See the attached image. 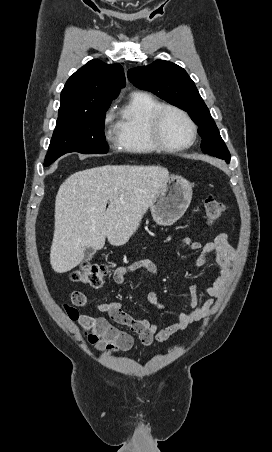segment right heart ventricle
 Masks as SVG:
<instances>
[{
    "label": "right heart ventricle",
    "mask_w": 272,
    "mask_h": 452,
    "mask_svg": "<svg viewBox=\"0 0 272 452\" xmlns=\"http://www.w3.org/2000/svg\"><path fill=\"white\" fill-rule=\"evenodd\" d=\"M163 104L145 92L134 93L121 111L117 123L119 147L132 153L146 154L159 150L150 135L152 115Z\"/></svg>",
    "instance_id": "obj_1"
}]
</instances>
